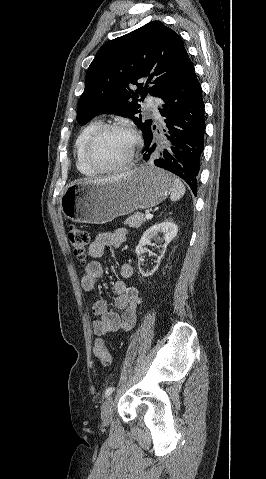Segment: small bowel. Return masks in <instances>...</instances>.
<instances>
[{"label":"small bowel","mask_w":266,"mask_h":479,"mask_svg":"<svg viewBox=\"0 0 266 479\" xmlns=\"http://www.w3.org/2000/svg\"><path fill=\"white\" fill-rule=\"evenodd\" d=\"M125 235V230L121 229L102 232L95 236L89 247V256L92 260L85 266L84 275L81 278L84 291H95L97 281L103 276V267L96 258L101 257L107 247H121L125 241ZM119 270L123 278H129L133 273L129 263L121 264ZM113 291L116 295L114 306L120 313L110 311L105 299H98L93 303L92 311L97 316L93 322V330L98 336L130 331L136 323V313L141 304L139 288L128 284L124 279H119L113 283Z\"/></svg>","instance_id":"1"}]
</instances>
